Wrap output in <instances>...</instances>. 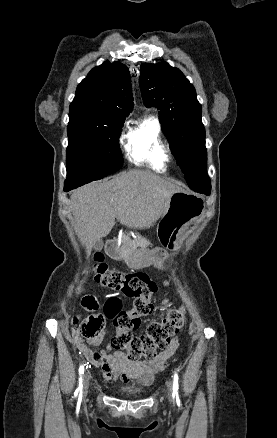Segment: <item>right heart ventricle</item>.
<instances>
[{
    "mask_svg": "<svg viewBox=\"0 0 277 438\" xmlns=\"http://www.w3.org/2000/svg\"><path fill=\"white\" fill-rule=\"evenodd\" d=\"M125 149L132 163L147 164L159 172L167 170L168 148L155 119H144L136 127L130 128L125 137Z\"/></svg>",
    "mask_w": 277,
    "mask_h": 438,
    "instance_id": "obj_1",
    "label": "right heart ventricle"
}]
</instances>
